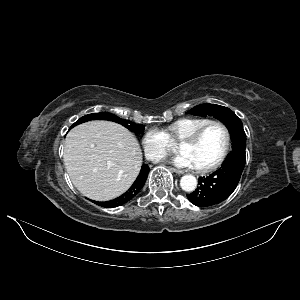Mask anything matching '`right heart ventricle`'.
<instances>
[{
	"label": "right heart ventricle",
	"mask_w": 300,
	"mask_h": 300,
	"mask_svg": "<svg viewBox=\"0 0 300 300\" xmlns=\"http://www.w3.org/2000/svg\"><path fill=\"white\" fill-rule=\"evenodd\" d=\"M210 121L208 118L186 117L169 124L165 130L171 142H181Z\"/></svg>",
	"instance_id": "e07e8e85"
}]
</instances>
